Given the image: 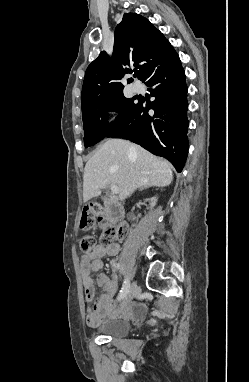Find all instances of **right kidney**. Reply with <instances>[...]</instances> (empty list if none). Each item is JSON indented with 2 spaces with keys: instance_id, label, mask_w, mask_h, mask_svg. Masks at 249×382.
<instances>
[{
  "instance_id": "right-kidney-1",
  "label": "right kidney",
  "mask_w": 249,
  "mask_h": 382,
  "mask_svg": "<svg viewBox=\"0 0 249 382\" xmlns=\"http://www.w3.org/2000/svg\"><path fill=\"white\" fill-rule=\"evenodd\" d=\"M150 200V203L154 206V205H156V202H157V198L156 197H152L151 199H149ZM149 202V201H148ZM138 208V207H137ZM137 208H132V210L131 211H129V213H128V221H129V223H131V224H133V223H135V218H133L134 217V214L135 213H137Z\"/></svg>"
}]
</instances>
